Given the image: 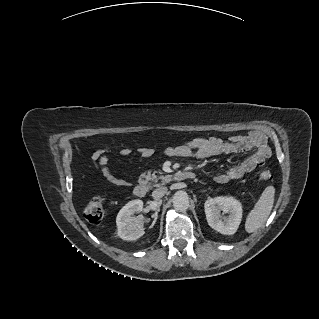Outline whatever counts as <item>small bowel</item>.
<instances>
[{"label":"small bowel","mask_w":319,"mask_h":319,"mask_svg":"<svg viewBox=\"0 0 319 319\" xmlns=\"http://www.w3.org/2000/svg\"><path fill=\"white\" fill-rule=\"evenodd\" d=\"M267 149L265 135L260 131L251 132L245 136H232L229 139L217 137L193 138L179 145L169 146L165 149V155L168 157H194L205 159L218 155L242 153L253 150V153L240 162L224 171L218 172L214 180L223 184L231 180H237L245 174L252 172L257 166L262 165L266 158ZM131 149L128 146H122L119 154L129 156ZM138 153L141 158L147 159L152 156L153 150L150 147H140ZM92 160L104 177L118 187H127L129 182L118 176L110 166L109 154L105 149H98L93 152Z\"/></svg>","instance_id":"obj_1"}]
</instances>
